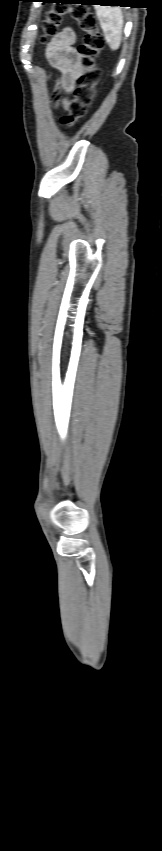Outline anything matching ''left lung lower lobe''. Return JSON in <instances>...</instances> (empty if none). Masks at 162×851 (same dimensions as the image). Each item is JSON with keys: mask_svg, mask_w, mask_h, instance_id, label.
Listing matches in <instances>:
<instances>
[{"mask_svg": "<svg viewBox=\"0 0 162 851\" xmlns=\"http://www.w3.org/2000/svg\"><path fill=\"white\" fill-rule=\"evenodd\" d=\"M48 2H55V1H53V0H48ZM84 2H88V3H90V4H93V3H103V4H105V5H113V6H114V5H119V6H121V4H120V3H126L127 1H126V0H73V1H71V2H63V3H81V4L83 5V4H84ZM103 4H101V5H103Z\"/></svg>", "mask_w": 162, "mask_h": 851, "instance_id": "obj_1", "label": "left lung lower lobe"}]
</instances>
